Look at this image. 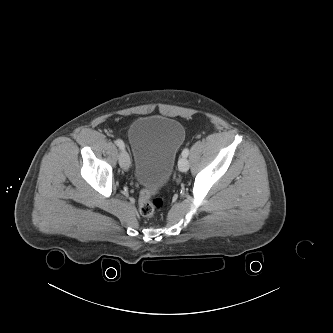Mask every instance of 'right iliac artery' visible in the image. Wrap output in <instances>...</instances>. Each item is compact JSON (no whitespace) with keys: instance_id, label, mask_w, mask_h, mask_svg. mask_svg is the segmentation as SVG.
<instances>
[{"instance_id":"1","label":"right iliac artery","mask_w":333,"mask_h":333,"mask_svg":"<svg viewBox=\"0 0 333 333\" xmlns=\"http://www.w3.org/2000/svg\"><path fill=\"white\" fill-rule=\"evenodd\" d=\"M115 143H116V145H117L120 149H122V150L125 149V145H124V143H123L122 140L117 139V140L115 141Z\"/></svg>"}]
</instances>
